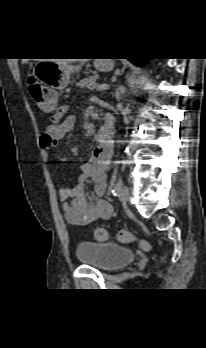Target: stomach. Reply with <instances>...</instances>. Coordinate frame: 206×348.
I'll list each match as a JSON object with an SVG mask.
<instances>
[{"label": "stomach", "instance_id": "0dacf381", "mask_svg": "<svg viewBox=\"0 0 206 348\" xmlns=\"http://www.w3.org/2000/svg\"><path fill=\"white\" fill-rule=\"evenodd\" d=\"M94 66L97 70L108 72L114 68V61L111 59H96ZM82 65L58 64L54 61H42L34 67V75L41 84L52 88L53 93H46L43 90L36 96L35 102L38 108L44 112L55 109L58 103L56 90L65 89L70 82V75L81 70Z\"/></svg>", "mask_w": 206, "mask_h": 348}]
</instances>
